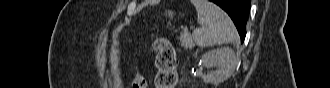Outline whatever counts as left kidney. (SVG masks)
Instances as JSON below:
<instances>
[{"label":"left kidney","instance_id":"left-kidney-1","mask_svg":"<svg viewBox=\"0 0 330 88\" xmlns=\"http://www.w3.org/2000/svg\"><path fill=\"white\" fill-rule=\"evenodd\" d=\"M236 65L237 60L233 49L229 47L213 49L202 56V66L215 67L216 70L208 74H201V78L205 83L218 85L230 77Z\"/></svg>","mask_w":330,"mask_h":88}]
</instances>
